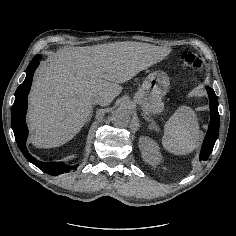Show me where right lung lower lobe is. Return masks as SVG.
Masks as SVG:
<instances>
[{"instance_id":"1","label":"right lung lower lobe","mask_w":236,"mask_h":236,"mask_svg":"<svg viewBox=\"0 0 236 236\" xmlns=\"http://www.w3.org/2000/svg\"><path fill=\"white\" fill-rule=\"evenodd\" d=\"M40 58V55H37L32 59L31 63L27 67L26 78L24 82L19 85L15 92V101L11 111V126L15 135L17 145L23 155L28 159V161L50 175H59L76 169L78 165L71 166L63 162H41L30 155L26 149V140L28 136V128L25 122L27 111V96L30 91L34 71L39 64L38 61Z\"/></svg>"}]
</instances>
